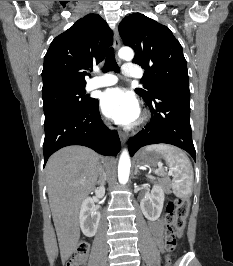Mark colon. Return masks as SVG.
I'll return each instance as SVG.
<instances>
[{"instance_id":"colon-1","label":"colon","mask_w":233,"mask_h":266,"mask_svg":"<svg viewBox=\"0 0 233 266\" xmlns=\"http://www.w3.org/2000/svg\"><path fill=\"white\" fill-rule=\"evenodd\" d=\"M189 208V199L185 197L170 201L166 207L164 244L169 253L175 250L179 239L183 236ZM88 253L89 243L86 240H81L72 256L66 262V266H85Z\"/></svg>"}]
</instances>
